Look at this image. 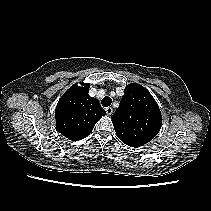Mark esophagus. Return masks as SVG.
Masks as SVG:
<instances>
[{"label":"esophagus","mask_w":211,"mask_h":211,"mask_svg":"<svg viewBox=\"0 0 211 211\" xmlns=\"http://www.w3.org/2000/svg\"><path fill=\"white\" fill-rule=\"evenodd\" d=\"M105 111H106L107 115H112L113 114V108L112 107H107L105 109Z\"/></svg>","instance_id":"34e87169"}]
</instances>
